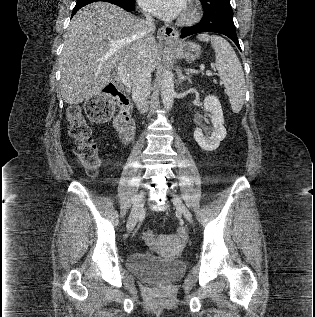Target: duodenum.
I'll return each mask as SVG.
<instances>
[{"label": "duodenum", "mask_w": 315, "mask_h": 317, "mask_svg": "<svg viewBox=\"0 0 315 317\" xmlns=\"http://www.w3.org/2000/svg\"><path fill=\"white\" fill-rule=\"evenodd\" d=\"M117 103L118 113L114 119V126L124 144H128L135 133V125L131 114L132 102L129 96L118 89Z\"/></svg>", "instance_id": "duodenum-1"}]
</instances>
